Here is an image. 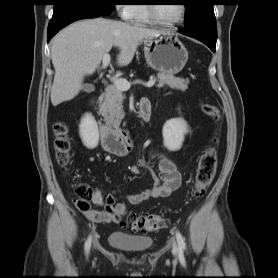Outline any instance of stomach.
<instances>
[{
    "label": "stomach",
    "instance_id": "1",
    "mask_svg": "<svg viewBox=\"0 0 278 278\" xmlns=\"http://www.w3.org/2000/svg\"><path fill=\"white\" fill-rule=\"evenodd\" d=\"M146 62L152 69L166 74H177L188 60V51L177 36L163 32L143 41Z\"/></svg>",
    "mask_w": 278,
    "mask_h": 278
}]
</instances>
